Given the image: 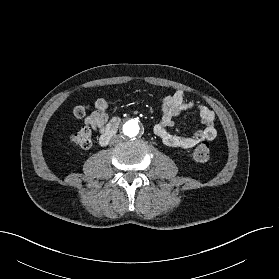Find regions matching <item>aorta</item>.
Wrapping results in <instances>:
<instances>
[{"label":"aorta","mask_w":279,"mask_h":279,"mask_svg":"<svg viewBox=\"0 0 279 279\" xmlns=\"http://www.w3.org/2000/svg\"><path fill=\"white\" fill-rule=\"evenodd\" d=\"M141 132V125L137 120L131 119L123 123L121 133L125 138L131 139L138 136Z\"/></svg>","instance_id":"aorta-1"}]
</instances>
